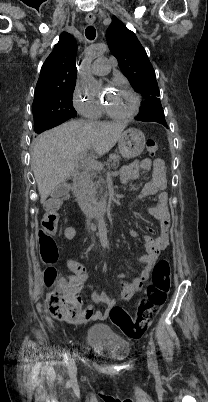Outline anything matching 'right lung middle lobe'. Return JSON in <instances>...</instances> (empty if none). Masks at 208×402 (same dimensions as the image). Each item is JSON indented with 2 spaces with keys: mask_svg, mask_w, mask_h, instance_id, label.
Listing matches in <instances>:
<instances>
[{
  "mask_svg": "<svg viewBox=\"0 0 208 402\" xmlns=\"http://www.w3.org/2000/svg\"><path fill=\"white\" fill-rule=\"evenodd\" d=\"M74 88L75 82L36 93L33 102L34 121L48 117L59 120L76 117L77 112L72 105ZM35 132L37 133L36 130Z\"/></svg>",
  "mask_w": 208,
  "mask_h": 402,
  "instance_id": "right-lung-middle-lobe-1",
  "label": "right lung middle lobe"
}]
</instances>
